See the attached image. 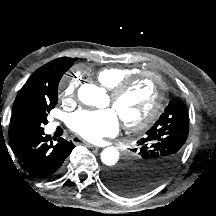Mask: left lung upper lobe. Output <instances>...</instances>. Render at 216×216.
I'll use <instances>...</instances> for the list:
<instances>
[{"label":"left lung upper lobe","mask_w":216,"mask_h":216,"mask_svg":"<svg viewBox=\"0 0 216 216\" xmlns=\"http://www.w3.org/2000/svg\"><path fill=\"white\" fill-rule=\"evenodd\" d=\"M188 133L187 107L170 101L146 137L138 141V148L132 150L137 151L138 156L128 160L130 172L123 178L124 184L134 187L130 195L151 190L169 175L183 154Z\"/></svg>","instance_id":"1"}]
</instances>
